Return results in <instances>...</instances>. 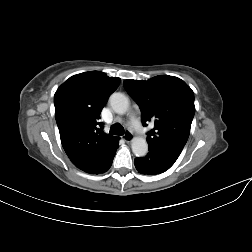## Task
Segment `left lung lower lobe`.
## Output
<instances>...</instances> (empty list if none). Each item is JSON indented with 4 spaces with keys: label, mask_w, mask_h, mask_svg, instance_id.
Here are the masks:
<instances>
[{
    "label": "left lung lower lobe",
    "mask_w": 252,
    "mask_h": 252,
    "mask_svg": "<svg viewBox=\"0 0 252 252\" xmlns=\"http://www.w3.org/2000/svg\"><path fill=\"white\" fill-rule=\"evenodd\" d=\"M179 155L155 145H149V152L145 157L135 158L134 164L139 173L157 175L167 171L177 160Z\"/></svg>",
    "instance_id": "left-lung-lower-lobe-1"
}]
</instances>
